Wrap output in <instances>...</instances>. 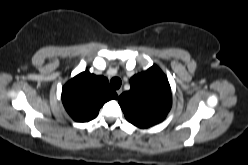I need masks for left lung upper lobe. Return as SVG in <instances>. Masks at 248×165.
<instances>
[{"mask_svg":"<svg viewBox=\"0 0 248 165\" xmlns=\"http://www.w3.org/2000/svg\"><path fill=\"white\" fill-rule=\"evenodd\" d=\"M130 85L131 89L118 99L126 119L139 128H148L164 120L172 104L165 74L154 65L134 75Z\"/></svg>","mask_w":248,"mask_h":165,"instance_id":"obj_1","label":"left lung upper lobe"}]
</instances>
